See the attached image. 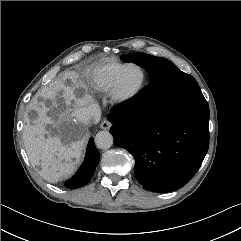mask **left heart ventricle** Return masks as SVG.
<instances>
[{
    "instance_id": "obj_1",
    "label": "left heart ventricle",
    "mask_w": 241,
    "mask_h": 241,
    "mask_svg": "<svg viewBox=\"0 0 241 241\" xmlns=\"http://www.w3.org/2000/svg\"><path fill=\"white\" fill-rule=\"evenodd\" d=\"M142 79V73L138 68L131 67L123 74L120 80L121 87L125 90L134 88Z\"/></svg>"
}]
</instances>
